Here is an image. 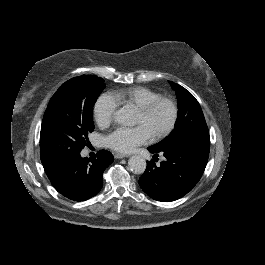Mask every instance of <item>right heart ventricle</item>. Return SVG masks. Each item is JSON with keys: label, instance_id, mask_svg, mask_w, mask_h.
<instances>
[{"label": "right heart ventricle", "instance_id": "right-heart-ventricle-1", "mask_svg": "<svg viewBox=\"0 0 265 265\" xmlns=\"http://www.w3.org/2000/svg\"><path fill=\"white\" fill-rule=\"evenodd\" d=\"M110 95L123 108L133 107L137 110L152 99L159 97L158 93L143 86L117 88L112 90Z\"/></svg>", "mask_w": 265, "mask_h": 265}]
</instances>
